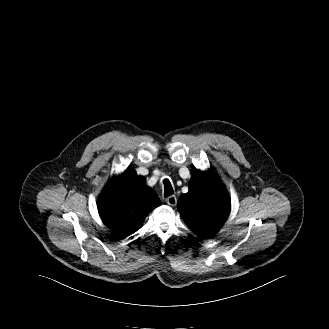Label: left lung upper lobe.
Returning a JSON list of instances; mask_svg holds the SVG:
<instances>
[{
    "label": "left lung upper lobe",
    "mask_w": 329,
    "mask_h": 329,
    "mask_svg": "<svg viewBox=\"0 0 329 329\" xmlns=\"http://www.w3.org/2000/svg\"><path fill=\"white\" fill-rule=\"evenodd\" d=\"M189 191L181 195L177 208L188 227L200 238L214 235L230 213V198L213 171L193 169Z\"/></svg>",
    "instance_id": "obj_1"
}]
</instances>
